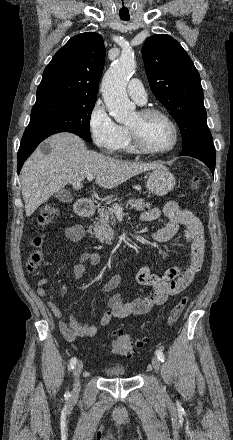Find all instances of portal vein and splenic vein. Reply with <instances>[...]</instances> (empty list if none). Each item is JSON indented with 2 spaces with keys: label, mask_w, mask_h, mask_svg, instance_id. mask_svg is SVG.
Instances as JSON below:
<instances>
[{
  "label": "portal vein and splenic vein",
  "mask_w": 233,
  "mask_h": 440,
  "mask_svg": "<svg viewBox=\"0 0 233 440\" xmlns=\"http://www.w3.org/2000/svg\"><path fill=\"white\" fill-rule=\"evenodd\" d=\"M94 179V175H87V180L92 181ZM123 208L121 207H115V213L117 215L122 214Z\"/></svg>",
  "instance_id": "portal-vein-and-splenic-vein-1"
}]
</instances>
